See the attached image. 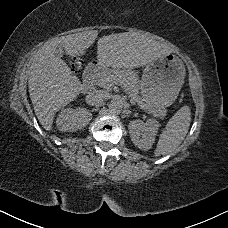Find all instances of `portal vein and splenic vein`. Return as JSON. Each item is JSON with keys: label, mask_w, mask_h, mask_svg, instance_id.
<instances>
[{"label": "portal vein and splenic vein", "mask_w": 228, "mask_h": 228, "mask_svg": "<svg viewBox=\"0 0 228 228\" xmlns=\"http://www.w3.org/2000/svg\"><path fill=\"white\" fill-rule=\"evenodd\" d=\"M110 83V85H108L109 87L115 83V81L110 80L109 78L106 79V81H104V84Z\"/></svg>", "instance_id": "18ae733b"}]
</instances>
